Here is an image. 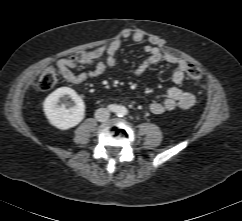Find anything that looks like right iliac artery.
<instances>
[{
	"mask_svg": "<svg viewBox=\"0 0 242 221\" xmlns=\"http://www.w3.org/2000/svg\"><path fill=\"white\" fill-rule=\"evenodd\" d=\"M108 109L112 112H119V107L115 104L109 105Z\"/></svg>",
	"mask_w": 242,
	"mask_h": 221,
	"instance_id": "82829eb1",
	"label": "right iliac artery"
}]
</instances>
